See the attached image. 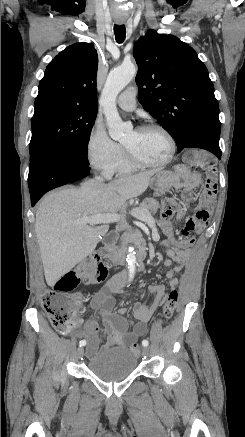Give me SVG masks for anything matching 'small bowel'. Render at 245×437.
<instances>
[{
	"instance_id": "obj_1",
	"label": "small bowel",
	"mask_w": 245,
	"mask_h": 437,
	"mask_svg": "<svg viewBox=\"0 0 245 437\" xmlns=\"http://www.w3.org/2000/svg\"><path fill=\"white\" fill-rule=\"evenodd\" d=\"M185 157L193 171H205L208 175H211L216 168L213 159L210 158L209 154H204L203 150H186ZM200 183L199 178L194 180L195 186ZM207 187L202 197L201 209L197 211L194 217L187 220L181 236L175 235L174 229L168 221L162 220L160 222L161 227L168 236V239L163 241L161 245L167 257L164 261V266L169 269L166 273V278L170 288H175L181 283V279L177 278L175 274L185 268L190 248L195 243V238L189 234L190 231L195 229L203 230L208 224L213 191L211 186L207 185ZM192 198V193L187 191L185 193V201L190 203ZM178 216L179 218L184 216L183 209L178 211ZM121 283L122 281L118 282L115 278L111 279L93 296L90 302L91 308L99 311L107 337L106 343L101 348L102 351L116 347L124 348L142 336L154 312L163 304L167 296L166 288L163 284L149 286L147 293L154 297L153 303L148 305L142 301L135 302L132 306L134 321H131L126 318L128 313L126 308H120L116 313L112 311L115 303L113 294L120 293ZM98 330V324L94 319L91 318L85 322L83 334L88 342L86 356L89 359L95 358L98 354Z\"/></svg>"
}]
</instances>
